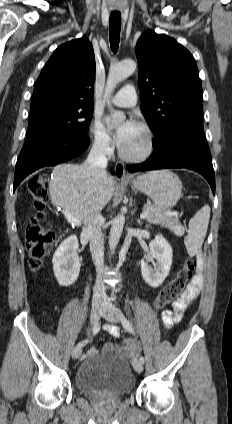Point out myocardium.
<instances>
[{
  "instance_id": "myocardium-1",
  "label": "myocardium",
  "mask_w": 232,
  "mask_h": 424,
  "mask_svg": "<svg viewBox=\"0 0 232 424\" xmlns=\"http://www.w3.org/2000/svg\"><path fill=\"white\" fill-rule=\"evenodd\" d=\"M138 127L145 134V147L138 153H128L123 148H120V157L128 162H141L149 158L155 148V136L152 129L145 123H138Z\"/></svg>"
}]
</instances>
